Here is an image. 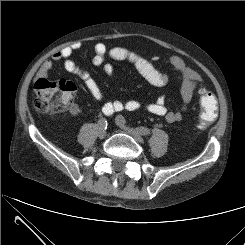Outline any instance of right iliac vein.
<instances>
[{"label":"right iliac vein","mask_w":245,"mask_h":245,"mask_svg":"<svg viewBox=\"0 0 245 245\" xmlns=\"http://www.w3.org/2000/svg\"><path fill=\"white\" fill-rule=\"evenodd\" d=\"M106 133H107L106 129L103 126L99 125V127H98V136L100 138H104L106 136Z\"/></svg>","instance_id":"1"}]
</instances>
